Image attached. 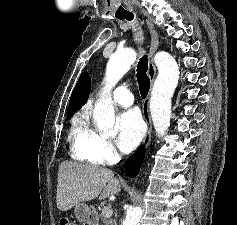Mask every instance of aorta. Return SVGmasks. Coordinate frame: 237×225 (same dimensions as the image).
I'll list each match as a JSON object with an SVG mask.
<instances>
[{
	"label": "aorta",
	"instance_id": "1",
	"mask_svg": "<svg viewBox=\"0 0 237 225\" xmlns=\"http://www.w3.org/2000/svg\"><path fill=\"white\" fill-rule=\"evenodd\" d=\"M136 60L133 49H122L112 54L106 67L104 88L105 96L94 107L93 118L99 130L107 135L116 133L115 112L110 97L113 86L123 77ZM158 76L155 80L151 99L150 113L155 131L159 137L165 135L170 126L171 101L179 80V67L176 60L167 52L155 55ZM142 217L140 207H130L126 211L122 225H139Z\"/></svg>",
	"mask_w": 237,
	"mask_h": 225
}]
</instances>
